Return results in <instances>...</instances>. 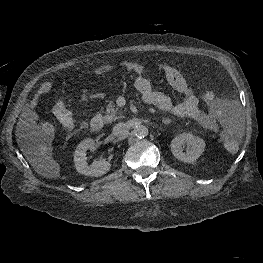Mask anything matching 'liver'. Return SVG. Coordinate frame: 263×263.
<instances>
[{"instance_id": "liver-1", "label": "liver", "mask_w": 263, "mask_h": 263, "mask_svg": "<svg viewBox=\"0 0 263 263\" xmlns=\"http://www.w3.org/2000/svg\"><path fill=\"white\" fill-rule=\"evenodd\" d=\"M20 124H21V122L18 123L17 131H19ZM45 149H46V148H43L44 151H46ZM38 171H39V173L43 174L44 176L47 175V174H45V173H42L40 170H38ZM53 174H54V175H57V174H58V168H56V169L54 170Z\"/></svg>"}]
</instances>
